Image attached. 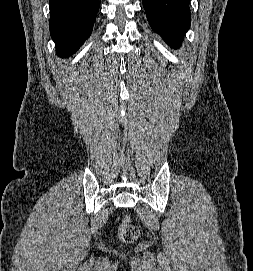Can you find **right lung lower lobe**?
I'll return each instance as SVG.
<instances>
[{"label":"right lung lower lobe","mask_w":253,"mask_h":271,"mask_svg":"<svg viewBox=\"0 0 253 271\" xmlns=\"http://www.w3.org/2000/svg\"><path fill=\"white\" fill-rule=\"evenodd\" d=\"M50 34L58 56L73 54L90 36L99 0H49Z\"/></svg>","instance_id":"right-lung-lower-lobe-1"}]
</instances>
